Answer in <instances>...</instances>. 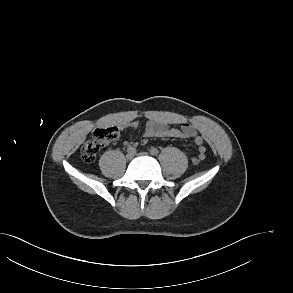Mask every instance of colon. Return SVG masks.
Masks as SVG:
<instances>
[{
    "label": "colon",
    "instance_id": "5ec220e1",
    "mask_svg": "<svg viewBox=\"0 0 293 293\" xmlns=\"http://www.w3.org/2000/svg\"><path fill=\"white\" fill-rule=\"evenodd\" d=\"M119 136L118 129L114 126L100 127L95 129L91 138L81 149V158L87 163L95 161L99 151L107 144L116 140ZM205 151L201 150L198 157L193 159L194 164L204 160Z\"/></svg>",
    "mask_w": 293,
    "mask_h": 293
}]
</instances>
